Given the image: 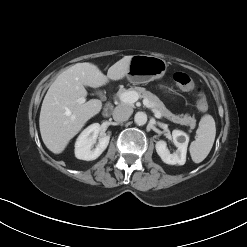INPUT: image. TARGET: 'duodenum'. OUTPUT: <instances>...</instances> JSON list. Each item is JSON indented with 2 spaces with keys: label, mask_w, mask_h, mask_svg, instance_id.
I'll return each mask as SVG.
<instances>
[{
  "label": "duodenum",
  "mask_w": 247,
  "mask_h": 247,
  "mask_svg": "<svg viewBox=\"0 0 247 247\" xmlns=\"http://www.w3.org/2000/svg\"><path fill=\"white\" fill-rule=\"evenodd\" d=\"M113 110V105L110 101L106 102L105 107H104V113L106 115H109Z\"/></svg>",
  "instance_id": "obj_1"
}]
</instances>
